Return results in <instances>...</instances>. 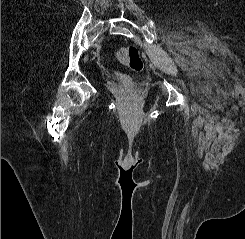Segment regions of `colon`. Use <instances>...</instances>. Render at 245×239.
<instances>
[{"label":"colon","mask_w":245,"mask_h":239,"mask_svg":"<svg viewBox=\"0 0 245 239\" xmlns=\"http://www.w3.org/2000/svg\"><path fill=\"white\" fill-rule=\"evenodd\" d=\"M115 57L120 63L127 65L133 72H140L144 67L140 52L133 45L119 49L115 53Z\"/></svg>","instance_id":"1"}]
</instances>
